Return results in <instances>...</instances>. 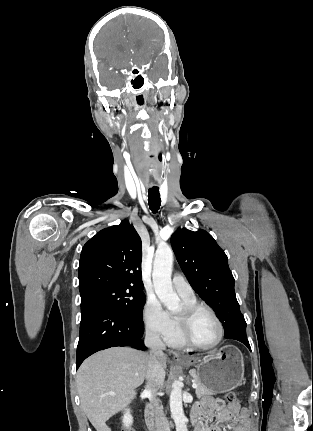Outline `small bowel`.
Returning <instances> with one entry per match:
<instances>
[{
  "label": "small bowel",
  "mask_w": 313,
  "mask_h": 431,
  "mask_svg": "<svg viewBox=\"0 0 313 431\" xmlns=\"http://www.w3.org/2000/svg\"><path fill=\"white\" fill-rule=\"evenodd\" d=\"M192 414L197 417L195 431H252L248 410L239 403L226 405L222 399L205 397ZM211 418L214 422L205 425Z\"/></svg>",
  "instance_id": "c3829d8e"
}]
</instances>
